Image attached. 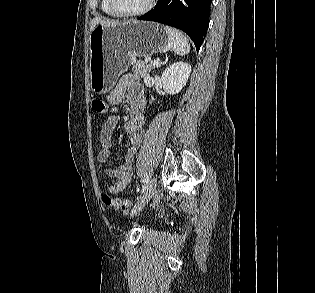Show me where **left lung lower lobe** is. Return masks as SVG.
I'll use <instances>...</instances> for the list:
<instances>
[{
    "instance_id": "obj_1",
    "label": "left lung lower lobe",
    "mask_w": 315,
    "mask_h": 293,
    "mask_svg": "<svg viewBox=\"0 0 315 293\" xmlns=\"http://www.w3.org/2000/svg\"><path fill=\"white\" fill-rule=\"evenodd\" d=\"M211 1L158 0L154 9L138 19L167 24L184 31L199 50L208 29Z\"/></svg>"
}]
</instances>
